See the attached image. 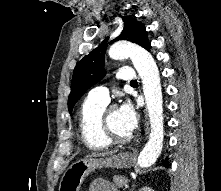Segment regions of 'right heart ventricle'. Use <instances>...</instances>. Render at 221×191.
<instances>
[{"label": "right heart ventricle", "mask_w": 221, "mask_h": 191, "mask_svg": "<svg viewBox=\"0 0 221 191\" xmlns=\"http://www.w3.org/2000/svg\"><path fill=\"white\" fill-rule=\"evenodd\" d=\"M107 103L87 97L80 108L79 128L82 141L86 147L93 150H104L112 145L106 137L103 128V114Z\"/></svg>", "instance_id": "right-heart-ventricle-1"}]
</instances>
